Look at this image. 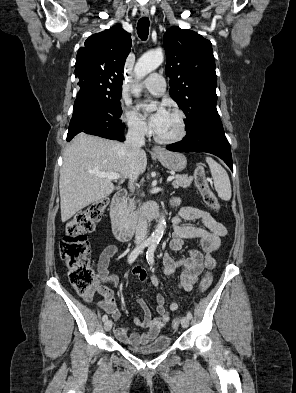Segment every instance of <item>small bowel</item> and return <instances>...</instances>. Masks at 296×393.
<instances>
[{
    "instance_id": "small-bowel-1",
    "label": "small bowel",
    "mask_w": 296,
    "mask_h": 393,
    "mask_svg": "<svg viewBox=\"0 0 296 393\" xmlns=\"http://www.w3.org/2000/svg\"><path fill=\"white\" fill-rule=\"evenodd\" d=\"M178 200L172 201V206H178ZM200 220L204 227L180 225L181 220ZM174 232L169 242V251L179 252L182 250L186 240H197L201 251L192 249L187 256L179 258L172 257L168 252L163 256L162 271L166 275H174L180 272L178 279L175 280L177 286L185 291H191L201 272L206 269H213L216 266L214 254L220 247L221 238L227 234L224 224L217 221L209 212L194 208L183 207L179 209L173 218ZM119 251L117 245L106 246L98 259V274L100 281L97 287L87 296H82L85 302H91L95 292L103 296V300L97 303L100 310L110 314L117 321L121 318L113 290L103 285V283H118V277L108 272L110 259ZM133 274L139 277L142 282L149 281L153 287L160 285L159 279L146 270L135 267ZM158 317H152L151 310L146 301L142 298L137 299V303L143 311V318L135 317L134 323L146 329L144 333L128 334L125 326H114L116 338L125 345H146L150 343L159 332L170 322V311H176L179 307L176 301H171L169 310L165 307V299L161 294L155 297Z\"/></svg>"
}]
</instances>
